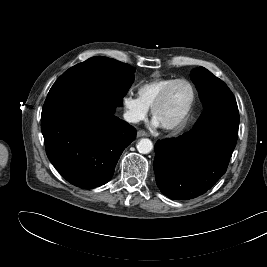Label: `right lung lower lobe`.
<instances>
[{"label": "right lung lower lobe", "instance_id": "1", "mask_svg": "<svg viewBox=\"0 0 267 267\" xmlns=\"http://www.w3.org/2000/svg\"><path fill=\"white\" fill-rule=\"evenodd\" d=\"M116 105L72 96L43 108L41 130L47 156L71 184L85 189L107 183L136 130L114 115Z\"/></svg>", "mask_w": 267, "mask_h": 267}]
</instances>
